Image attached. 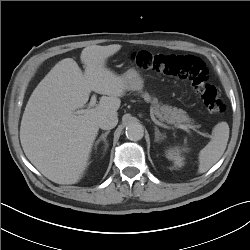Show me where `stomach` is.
I'll list each match as a JSON object with an SVG mask.
<instances>
[{"mask_svg": "<svg viewBox=\"0 0 250 250\" xmlns=\"http://www.w3.org/2000/svg\"><path fill=\"white\" fill-rule=\"evenodd\" d=\"M122 77L125 79L126 90H141L144 86V80L134 69H129Z\"/></svg>", "mask_w": 250, "mask_h": 250, "instance_id": "stomach-1", "label": "stomach"}]
</instances>
